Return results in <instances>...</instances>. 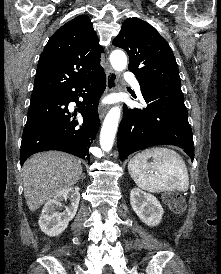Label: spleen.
<instances>
[{
  "label": "spleen",
  "instance_id": "obj_1",
  "mask_svg": "<svg viewBox=\"0 0 221 274\" xmlns=\"http://www.w3.org/2000/svg\"><path fill=\"white\" fill-rule=\"evenodd\" d=\"M153 158L152 162L148 159ZM128 171L136 185L151 193L180 192L189 188L185 162L173 150L155 147L137 153L128 163Z\"/></svg>",
  "mask_w": 221,
  "mask_h": 274
}]
</instances>
